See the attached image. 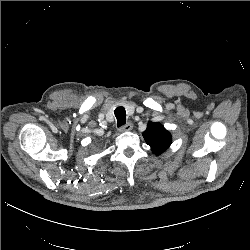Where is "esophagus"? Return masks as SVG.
Listing matches in <instances>:
<instances>
[{
    "instance_id": "1",
    "label": "esophagus",
    "mask_w": 250,
    "mask_h": 250,
    "mask_svg": "<svg viewBox=\"0 0 250 250\" xmlns=\"http://www.w3.org/2000/svg\"><path fill=\"white\" fill-rule=\"evenodd\" d=\"M133 128V124L131 122L126 123L122 127H120V132L130 131Z\"/></svg>"
}]
</instances>
